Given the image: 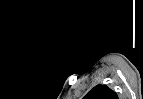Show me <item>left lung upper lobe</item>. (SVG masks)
<instances>
[{
	"label": "left lung upper lobe",
	"instance_id": "5c2ea615",
	"mask_svg": "<svg viewBox=\"0 0 143 99\" xmlns=\"http://www.w3.org/2000/svg\"><path fill=\"white\" fill-rule=\"evenodd\" d=\"M83 99H118L116 92L106 85H97Z\"/></svg>",
	"mask_w": 143,
	"mask_h": 99
}]
</instances>
